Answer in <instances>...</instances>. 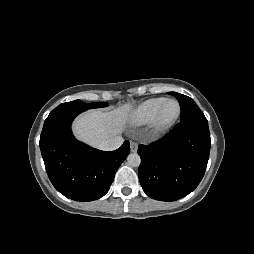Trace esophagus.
<instances>
[{"instance_id": "obj_1", "label": "esophagus", "mask_w": 254, "mask_h": 254, "mask_svg": "<svg viewBox=\"0 0 254 254\" xmlns=\"http://www.w3.org/2000/svg\"><path fill=\"white\" fill-rule=\"evenodd\" d=\"M130 149H131V152H134V153L137 152L138 144L136 142L131 141L130 142Z\"/></svg>"}]
</instances>
